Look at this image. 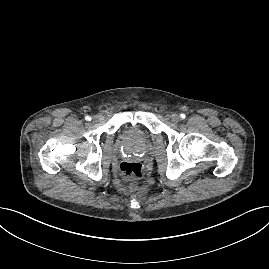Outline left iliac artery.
Returning a JSON list of instances; mask_svg holds the SVG:
<instances>
[{
    "label": "left iliac artery",
    "mask_w": 269,
    "mask_h": 269,
    "mask_svg": "<svg viewBox=\"0 0 269 269\" xmlns=\"http://www.w3.org/2000/svg\"><path fill=\"white\" fill-rule=\"evenodd\" d=\"M185 117H186L185 114H180L181 119H185Z\"/></svg>",
    "instance_id": "left-iliac-artery-1"
}]
</instances>
